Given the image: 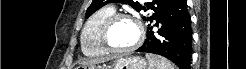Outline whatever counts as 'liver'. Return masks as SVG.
<instances>
[{
	"label": "liver",
	"instance_id": "1",
	"mask_svg": "<svg viewBox=\"0 0 246 69\" xmlns=\"http://www.w3.org/2000/svg\"><path fill=\"white\" fill-rule=\"evenodd\" d=\"M104 61V59H94V60H89V61H86L85 62V65H87V64H95V63H100V62H103Z\"/></svg>",
	"mask_w": 246,
	"mask_h": 69
}]
</instances>
